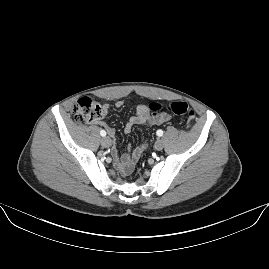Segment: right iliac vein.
Returning a JSON list of instances; mask_svg holds the SVG:
<instances>
[{"label":"right iliac vein","mask_w":269,"mask_h":269,"mask_svg":"<svg viewBox=\"0 0 269 269\" xmlns=\"http://www.w3.org/2000/svg\"><path fill=\"white\" fill-rule=\"evenodd\" d=\"M100 142L103 147H109L111 145V139L108 136L101 138Z\"/></svg>","instance_id":"right-iliac-vein-1"}]
</instances>
